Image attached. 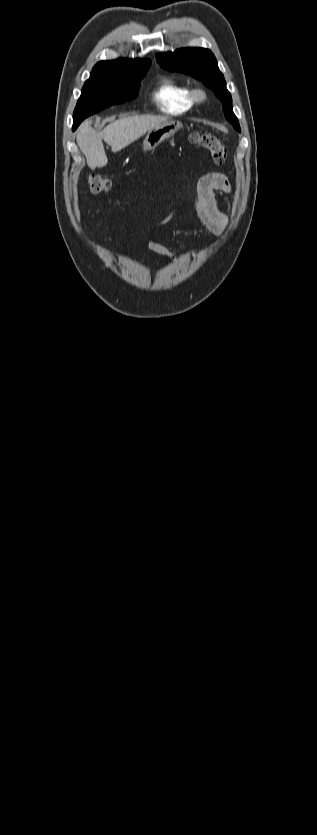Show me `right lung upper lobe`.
<instances>
[{
	"label": "right lung upper lobe",
	"instance_id": "1",
	"mask_svg": "<svg viewBox=\"0 0 317 835\" xmlns=\"http://www.w3.org/2000/svg\"><path fill=\"white\" fill-rule=\"evenodd\" d=\"M147 64H151V61L148 59L128 60L119 58L112 61H100L93 67V71L90 76H99L116 71H133Z\"/></svg>",
	"mask_w": 317,
	"mask_h": 835
}]
</instances>
